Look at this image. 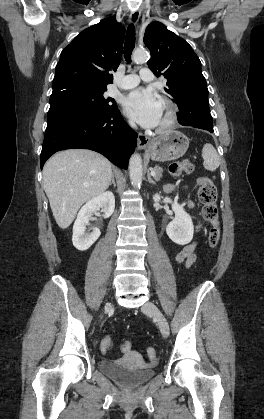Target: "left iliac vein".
I'll use <instances>...</instances> for the list:
<instances>
[{
    "label": "left iliac vein",
    "mask_w": 264,
    "mask_h": 419,
    "mask_svg": "<svg viewBox=\"0 0 264 419\" xmlns=\"http://www.w3.org/2000/svg\"><path fill=\"white\" fill-rule=\"evenodd\" d=\"M141 309L144 313L150 314L156 319L162 335L167 337L169 335V324L158 307L153 302L147 301Z\"/></svg>",
    "instance_id": "left-iliac-vein-1"
}]
</instances>
